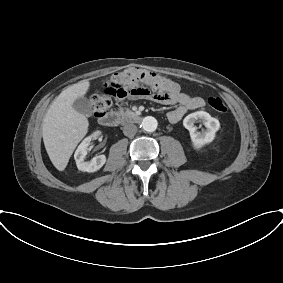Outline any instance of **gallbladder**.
Here are the masks:
<instances>
[{
    "label": "gallbladder",
    "mask_w": 283,
    "mask_h": 283,
    "mask_svg": "<svg viewBox=\"0 0 283 283\" xmlns=\"http://www.w3.org/2000/svg\"><path fill=\"white\" fill-rule=\"evenodd\" d=\"M72 106L78 113L85 116H90L93 112L90 101L85 97L77 98Z\"/></svg>",
    "instance_id": "1"
}]
</instances>
